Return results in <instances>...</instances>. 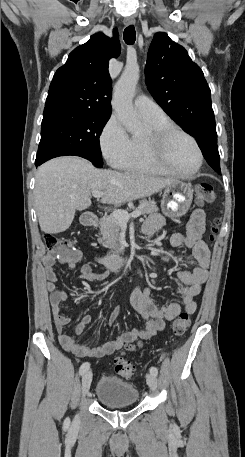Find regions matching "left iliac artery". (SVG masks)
Listing matches in <instances>:
<instances>
[{
	"label": "left iliac artery",
	"instance_id": "1",
	"mask_svg": "<svg viewBox=\"0 0 245 457\" xmlns=\"http://www.w3.org/2000/svg\"><path fill=\"white\" fill-rule=\"evenodd\" d=\"M150 373L154 374V375H157L158 374V369L155 367V366H152L150 368Z\"/></svg>",
	"mask_w": 245,
	"mask_h": 457
}]
</instances>
